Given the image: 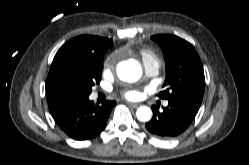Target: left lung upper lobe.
<instances>
[{
    "instance_id": "obj_1",
    "label": "left lung upper lobe",
    "mask_w": 249,
    "mask_h": 165,
    "mask_svg": "<svg viewBox=\"0 0 249 165\" xmlns=\"http://www.w3.org/2000/svg\"><path fill=\"white\" fill-rule=\"evenodd\" d=\"M164 54L166 77L159 98L185 100L201 105L205 77L201 60L194 47L187 41L168 34L151 37Z\"/></svg>"
}]
</instances>
